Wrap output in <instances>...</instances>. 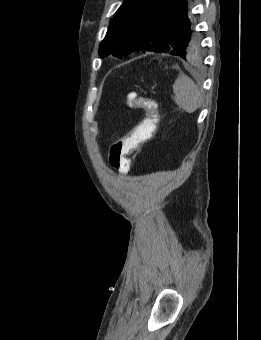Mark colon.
Returning a JSON list of instances; mask_svg holds the SVG:
<instances>
[{
	"label": "colon",
	"mask_w": 261,
	"mask_h": 340,
	"mask_svg": "<svg viewBox=\"0 0 261 340\" xmlns=\"http://www.w3.org/2000/svg\"><path fill=\"white\" fill-rule=\"evenodd\" d=\"M126 104L130 108L142 109L145 112V117L110 146L109 162L112 167L120 171L129 169L130 161L127 156L151 138L160 118L159 103L153 98L140 97L132 92L128 94Z\"/></svg>",
	"instance_id": "5ec220e1"
}]
</instances>
